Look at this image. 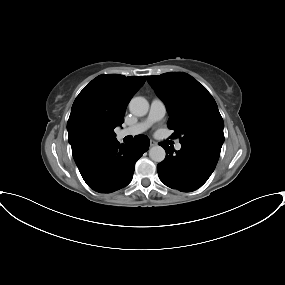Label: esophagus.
Here are the masks:
<instances>
[{"instance_id":"34e87169","label":"esophagus","mask_w":285,"mask_h":285,"mask_svg":"<svg viewBox=\"0 0 285 285\" xmlns=\"http://www.w3.org/2000/svg\"><path fill=\"white\" fill-rule=\"evenodd\" d=\"M157 142L154 140H150V147L156 146Z\"/></svg>"}]
</instances>
